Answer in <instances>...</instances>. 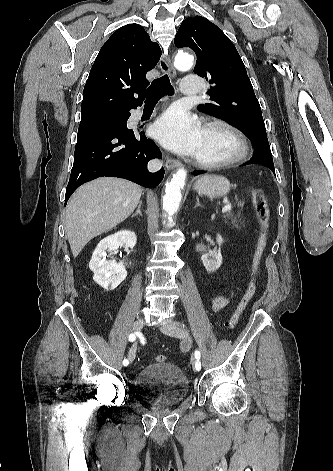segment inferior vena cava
Here are the masks:
<instances>
[{"mask_svg":"<svg viewBox=\"0 0 333 471\" xmlns=\"http://www.w3.org/2000/svg\"><path fill=\"white\" fill-rule=\"evenodd\" d=\"M162 166V163L159 160H151L148 163V169L152 172L158 171Z\"/></svg>","mask_w":333,"mask_h":471,"instance_id":"1","label":"inferior vena cava"}]
</instances>
